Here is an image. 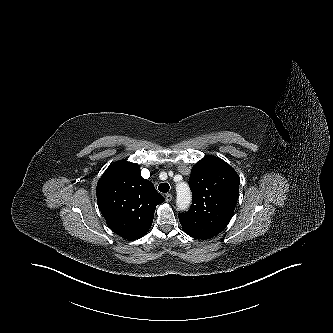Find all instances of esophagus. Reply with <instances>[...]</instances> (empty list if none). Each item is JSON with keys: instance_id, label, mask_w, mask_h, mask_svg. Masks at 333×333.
<instances>
[{"instance_id": "34e87169", "label": "esophagus", "mask_w": 333, "mask_h": 333, "mask_svg": "<svg viewBox=\"0 0 333 333\" xmlns=\"http://www.w3.org/2000/svg\"><path fill=\"white\" fill-rule=\"evenodd\" d=\"M172 198H173L172 194L168 193V194L165 195L166 202H171Z\"/></svg>"}]
</instances>
